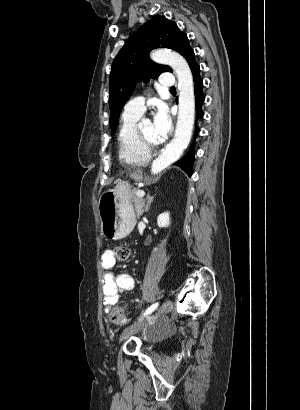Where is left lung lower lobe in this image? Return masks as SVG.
<instances>
[{
  "label": "left lung lower lobe",
  "instance_id": "0a47b994",
  "mask_svg": "<svg viewBox=\"0 0 300 410\" xmlns=\"http://www.w3.org/2000/svg\"><path fill=\"white\" fill-rule=\"evenodd\" d=\"M188 64L190 66L191 72L193 74V80H194V91H195V105H196V114H197V120L203 117V111H202V105L204 103L205 97L203 94V81L200 77V66L197 64L195 60V54L192 53L191 56L188 59ZM199 132V128L197 125H195V137L197 136ZM194 144H195V139L187 152V154L180 159L178 162L175 163V165L181 167L189 176L192 175V165L194 161Z\"/></svg>",
  "mask_w": 300,
  "mask_h": 410
}]
</instances>
